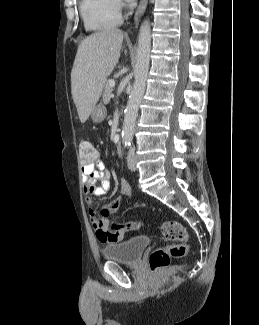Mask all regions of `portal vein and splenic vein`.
I'll return each instance as SVG.
<instances>
[{
  "mask_svg": "<svg viewBox=\"0 0 259 325\" xmlns=\"http://www.w3.org/2000/svg\"><path fill=\"white\" fill-rule=\"evenodd\" d=\"M109 84H110L111 87H115V81L114 80L110 81Z\"/></svg>",
  "mask_w": 259,
  "mask_h": 325,
  "instance_id": "portal-vein-and-splenic-vein-1",
  "label": "portal vein and splenic vein"
}]
</instances>
